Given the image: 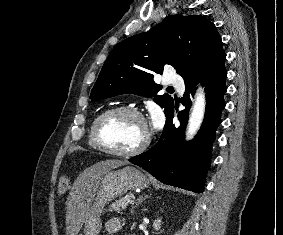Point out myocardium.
<instances>
[{
  "label": "myocardium",
  "mask_w": 283,
  "mask_h": 235,
  "mask_svg": "<svg viewBox=\"0 0 283 235\" xmlns=\"http://www.w3.org/2000/svg\"><path fill=\"white\" fill-rule=\"evenodd\" d=\"M121 114H129L137 117L145 127V137L143 141L134 149L127 151H119L108 147L101 138V128L103 124L110 118L121 115ZM92 137L95 146L101 150L102 152L117 156V157H133L143 153L149 146L151 142V135L147 126L146 119L141 111L134 107L121 106L114 107L104 111L95 121L93 129H92Z\"/></svg>",
  "instance_id": "myocardium-1"
}]
</instances>
